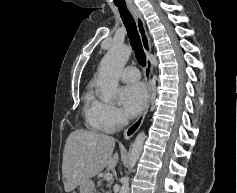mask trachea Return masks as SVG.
Returning a JSON list of instances; mask_svg holds the SVG:
<instances>
[{"instance_id": "3493384b", "label": "trachea", "mask_w": 237, "mask_h": 193, "mask_svg": "<svg viewBox=\"0 0 237 193\" xmlns=\"http://www.w3.org/2000/svg\"><path fill=\"white\" fill-rule=\"evenodd\" d=\"M121 19L126 27L131 46L135 52L138 63L145 66L146 57L137 31L136 23L126 6H118Z\"/></svg>"}]
</instances>
